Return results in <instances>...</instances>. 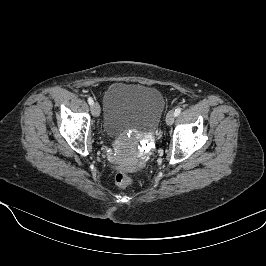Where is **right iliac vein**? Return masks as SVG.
Returning <instances> with one entry per match:
<instances>
[{
	"mask_svg": "<svg viewBox=\"0 0 266 266\" xmlns=\"http://www.w3.org/2000/svg\"><path fill=\"white\" fill-rule=\"evenodd\" d=\"M92 115L98 117L100 115V106L98 103H93L91 107Z\"/></svg>",
	"mask_w": 266,
	"mask_h": 266,
	"instance_id": "1",
	"label": "right iliac vein"
}]
</instances>
